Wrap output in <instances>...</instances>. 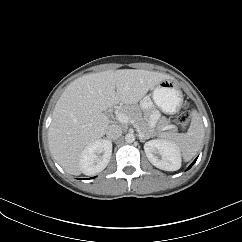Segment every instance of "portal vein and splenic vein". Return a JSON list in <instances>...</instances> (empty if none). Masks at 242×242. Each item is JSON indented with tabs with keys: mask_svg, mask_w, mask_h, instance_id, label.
<instances>
[{
	"mask_svg": "<svg viewBox=\"0 0 242 242\" xmlns=\"http://www.w3.org/2000/svg\"><path fill=\"white\" fill-rule=\"evenodd\" d=\"M116 117H117L118 121L123 123V124H127L129 122H132L131 118L127 114H124V113H121V112H117ZM139 136L143 137L144 134L139 132Z\"/></svg>",
	"mask_w": 242,
	"mask_h": 242,
	"instance_id": "portal-vein-and-splenic-vein-1",
	"label": "portal vein and splenic vein"
}]
</instances>
